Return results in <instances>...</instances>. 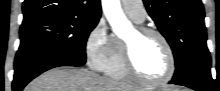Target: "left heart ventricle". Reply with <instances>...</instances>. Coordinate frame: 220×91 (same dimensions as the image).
I'll return each mask as SVG.
<instances>
[{
    "instance_id": "b2bd125f",
    "label": "left heart ventricle",
    "mask_w": 220,
    "mask_h": 91,
    "mask_svg": "<svg viewBox=\"0 0 220 91\" xmlns=\"http://www.w3.org/2000/svg\"><path fill=\"white\" fill-rule=\"evenodd\" d=\"M131 43L137 69L148 79H158L168 71L167 52L154 36L138 37L132 29L124 38Z\"/></svg>"
}]
</instances>
